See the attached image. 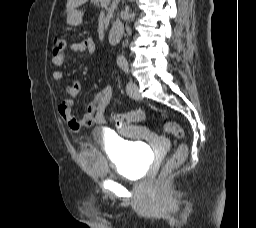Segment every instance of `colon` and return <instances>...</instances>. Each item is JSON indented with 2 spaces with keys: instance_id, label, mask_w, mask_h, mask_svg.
<instances>
[{
  "instance_id": "obj_1",
  "label": "colon",
  "mask_w": 256,
  "mask_h": 228,
  "mask_svg": "<svg viewBox=\"0 0 256 228\" xmlns=\"http://www.w3.org/2000/svg\"><path fill=\"white\" fill-rule=\"evenodd\" d=\"M65 41L60 36H55L53 39V54H58L64 50ZM115 122L118 125L138 123L145 119V113L142 110H134L127 114H118L114 117ZM164 131L166 133L174 135L176 138L183 140L184 131L181 126L175 122H167L164 125ZM188 153V145L182 141L176 148L174 154L168 159L165 166L159 173L156 183L159 185L163 182L167 174L179 167L185 160Z\"/></svg>"
}]
</instances>
